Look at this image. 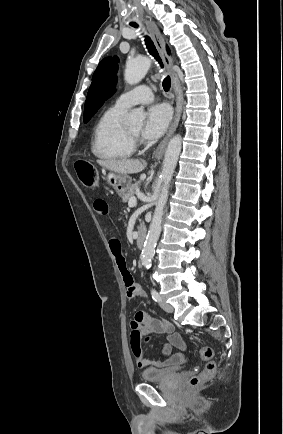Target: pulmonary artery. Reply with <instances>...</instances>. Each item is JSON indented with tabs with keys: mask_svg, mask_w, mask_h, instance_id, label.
Masks as SVG:
<instances>
[{
	"mask_svg": "<svg viewBox=\"0 0 283 434\" xmlns=\"http://www.w3.org/2000/svg\"><path fill=\"white\" fill-rule=\"evenodd\" d=\"M153 92L147 85H139L123 94L115 102V106L128 109L136 104H145L153 100Z\"/></svg>",
	"mask_w": 283,
	"mask_h": 434,
	"instance_id": "e3ab8cb5",
	"label": "pulmonary artery"
}]
</instances>
